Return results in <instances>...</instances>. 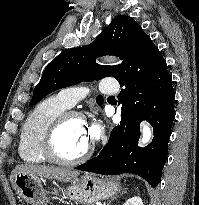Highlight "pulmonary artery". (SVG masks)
Returning a JSON list of instances; mask_svg holds the SVG:
<instances>
[{
  "mask_svg": "<svg viewBox=\"0 0 199 205\" xmlns=\"http://www.w3.org/2000/svg\"><path fill=\"white\" fill-rule=\"evenodd\" d=\"M92 88L99 89L104 94H113L118 90V86L114 84L109 86L100 84L94 87L91 86H71L61 90L59 96L62 101L68 106H74L78 101L82 100L90 92Z\"/></svg>",
  "mask_w": 199,
  "mask_h": 205,
  "instance_id": "1",
  "label": "pulmonary artery"
}]
</instances>
